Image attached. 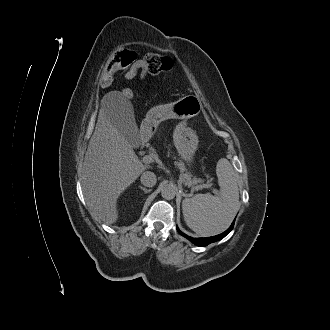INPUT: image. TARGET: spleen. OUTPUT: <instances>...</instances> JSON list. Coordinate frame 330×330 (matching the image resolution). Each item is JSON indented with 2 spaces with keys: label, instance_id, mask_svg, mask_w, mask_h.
<instances>
[{
  "label": "spleen",
  "instance_id": "obj_1",
  "mask_svg": "<svg viewBox=\"0 0 330 330\" xmlns=\"http://www.w3.org/2000/svg\"><path fill=\"white\" fill-rule=\"evenodd\" d=\"M220 191L216 195L196 194L182 202L187 226L201 236L223 232L239 210L238 175L231 163L221 158L216 165Z\"/></svg>",
  "mask_w": 330,
  "mask_h": 330
}]
</instances>
